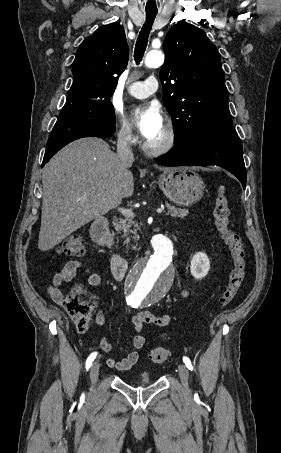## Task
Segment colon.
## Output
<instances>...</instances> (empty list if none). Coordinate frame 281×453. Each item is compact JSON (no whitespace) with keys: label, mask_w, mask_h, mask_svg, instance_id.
Returning a JSON list of instances; mask_svg holds the SVG:
<instances>
[{"label":"colon","mask_w":281,"mask_h":453,"mask_svg":"<svg viewBox=\"0 0 281 453\" xmlns=\"http://www.w3.org/2000/svg\"><path fill=\"white\" fill-rule=\"evenodd\" d=\"M229 186L219 183L214 188L213 210L214 228L222 236L225 246L231 254L232 267L228 284L218 297L216 308L226 307L237 296L244 285L247 270V257L244 243L241 237L230 229V208L228 200ZM61 257H85L87 247L80 238H67L53 247ZM67 310L80 318L81 326L87 324L89 311L79 304L73 296L67 302ZM149 360L153 363H166L169 361L168 351L164 348H154L148 351Z\"/></svg>","instance_id":"1"}]
</instances>
